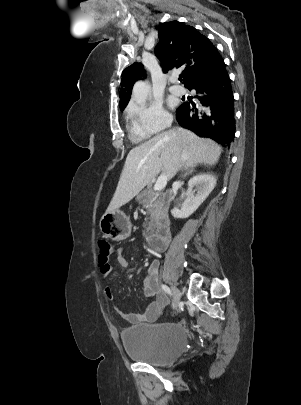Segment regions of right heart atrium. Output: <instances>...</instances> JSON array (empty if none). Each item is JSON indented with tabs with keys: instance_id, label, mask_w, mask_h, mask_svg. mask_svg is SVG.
I'll return each instance as SVG.
<instances>
[{
	"instance_id": "1",
	"label": "right heart atrium",
	"mask_w": 301,
	"mask_h": 405,
	"mask_svg": "<svg viewBox=\"0 0 301 405\" xmlns=\"http://www.w3.org/2000/svg\"><path fill=\"white\" fill-rule=\"evenodd\" d=\"M129 111L139 131L147 136L163 131L172 121L170 113L158 101L132 104Z\"/></svg>"
}]
</instances>
